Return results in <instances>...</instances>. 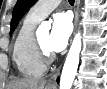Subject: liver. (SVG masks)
I'll return each instance as SVG.
<instances>
[{"label": "liver", "mask_w": 107, "mask_h": 89, "mask_svg": "<svg viewBox=\"0 0 107 89\" xmlns=\"http://www.w3.org/2000/svg\"><path fill=\"white\" fill-rule=\"evenodd\" d=\"M45 81L33 79V78H22L12 81L8 89H43Z\"/></svg>", "instance_id": "liver-1"}]
</instances>
